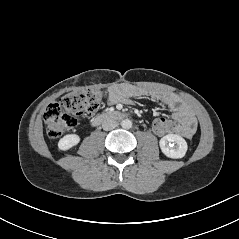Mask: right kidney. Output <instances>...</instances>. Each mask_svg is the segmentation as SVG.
<instances>
[{
    "label": "right kidney",
    "instance_id": "1",
    "mask_svg": "<svg viewBox=\"0 0 239 239\" xmlns=\"http://www.w3.org/2000/svg\"><path fill=\"white\" fill-rule=\"evenodd\" d=\"M80 142V137L77 134H67L58 142V148L66 151L76 146Z\"/></svg>",
    "mask_w": 239,
    "mask_h": 239
}]
</instances>
